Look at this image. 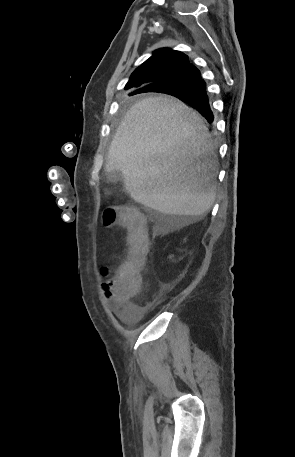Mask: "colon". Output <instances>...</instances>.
Returning <instances> with one entry per match:
<instances>
[{
    "label": "colon",
    "instance_id": "colon-1",
    "mask_svg": "<svg viewBox=\"0 0 295 457\" xmlns=\"http://www.w3.org/2000/svg\"><path fill=\"white\" fill-rule=\"evenodd\" d=\"M103 222L110 226L120 223L128 230L129 252L116 274L103 282L107 297L117 303L131 300L141 286L140 272L144 267L149 240L144 216L129 206L109 207L103 213Z\"/></svg>",
    "mask_w": 295,
    "mask_h": 457
}]
</instances>
